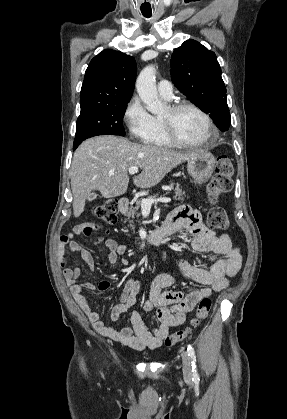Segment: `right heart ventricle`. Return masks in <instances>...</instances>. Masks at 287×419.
<instances>
[{"mask_svg":"<svg viewBox=\"0 0 287 419\" xmlns=\"http://www.w3.org/2000/svg\"><path fill=\"white\" fill-rule=\"evenodd\" d=\"M143 142L158 147H169L174 145L165 136L161 119L158 117H153L152 131L143 139Z\"/></svg>","mask_w":287,"mask_h":419,"instance_id":"e07e8e85","label":"right heart ventricle"}]
</instances>
